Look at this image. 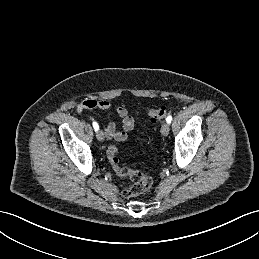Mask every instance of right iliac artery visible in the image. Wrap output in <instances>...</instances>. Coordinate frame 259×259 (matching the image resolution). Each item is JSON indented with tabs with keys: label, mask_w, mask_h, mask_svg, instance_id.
Returning <instances> with one entry per match:
<instances>
[{
	"label": "right iliac artery",
	"mask_w": 259,
	"mask_h": 259,
	"mask_svg": "<svg viewBox=\"0 0 259 259\" xmlns=\"http://www.w3.org/2000/svg\"><path fill=\"white\" fill-rule=\"evenodd\" d=\"M93 127H94L95 131H98L99 126H98L97 122H93Z\"/></svg>",
	"instance_id": "obj_1"
}]
</instances>
